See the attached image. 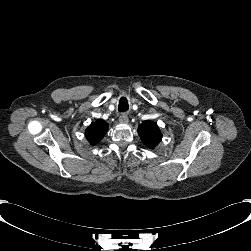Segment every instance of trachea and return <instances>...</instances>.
I'll return each mask as SVG.
<instances>
[{"instance_id": "obj_1", "label": "trachea", "mask_w": 251, "mask_h": 251, "mask_svg": "<svg viewBox=\"0 0 251 251\" xmlns=\"http://www.w3.org/2000/svg\"><path fill=\"white\" fill-rule=\"evenodd\" d=\"M129 109V105L126 98H121L118 105L119 112H125Z\"/></svg>"}]
</instances>
